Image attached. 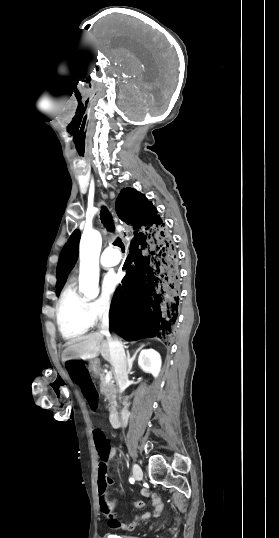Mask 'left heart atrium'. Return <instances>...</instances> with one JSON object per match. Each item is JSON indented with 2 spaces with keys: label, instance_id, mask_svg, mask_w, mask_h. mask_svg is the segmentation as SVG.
<instances>
[{
  "label": "left heart atrium",
  "instance_id": "39dd6f15",
  "mask_svg": "<svg viewBox=\"0 0 279 538\" xmlns=\"http://www.w3.org/2000/svg\"><path fill=\"white\" fill-rule=\"evenodd\" d=\"M119 283V276L115 273L106 275L104 280V289L107 293H112Z\"/></svg>",
  "mask_w": 279,
  "mask_h": 538
}]
</instances>
